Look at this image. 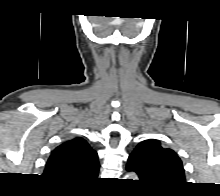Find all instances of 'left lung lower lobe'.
I'll list each match as a JSON object with an SVG mask.
<instances>
[{
	"label": "left lung lower lobe",
	"mask_w": 220,
	"mask_h": 196,
	"mask_svg": "<svg viewBox=\"0 0 220 196\" xmlns=\"http://www.w3.org/2000/svg\"><path fill=\"white\" fill-rule=\"evenodd\" d=\"M126 169H127L128 171H133V169H132V167H131L130 164L127 165Z\"/></svg>",
	"instance_id": "left-lung-lower-lobe-1"
}]
</instances>
